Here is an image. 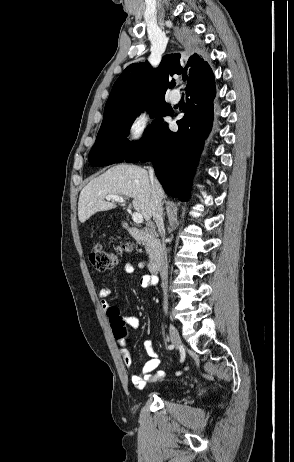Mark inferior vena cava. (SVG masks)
Listing matches in <instances>:
<instances>
[{
  "mask_svg": "<svg viewBox=\"0 0 294 462\" xmlns=\"http://www.w3.org/2000/svg\"><path fill=\"white\" fill-rule=\"evenodd\" d=\"M149 176L152 185L151 191V213L153 216V220L155 221L158 230L160 233L164 232V224H163V208H162V198L160 197L156 186H155V179H154V170L153 168H149ZM159 263L161 264V280H162V288H163V310L164 312L168 311V299H167V262L161 250V255L159 257Z\"/></svg>",
  "mask_w": 294,
  "mask_h": 462,
  "instance_id": "inferior-vena-cava-1",
  "label": "inferior vena cava"
}]
</instances>
